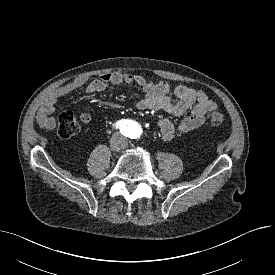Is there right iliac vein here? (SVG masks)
Segmentation results:
<instances>
[{
    "label": "right iliac vein",
    "instance_id": "obj_1",
    "mask_svg": "<svg viewBox=\"0 0 275 275\" xmlns=\"http://www.w3.org/2000/svg\"><path fill=\"white\" fill-rule=\"evenodd\" d=\"M111 146L115 149H120V143L118 142V140L112 141Z\"/></svg>",
    "mask_w": 275,
    "mask_h": 275
}]
</instances>
